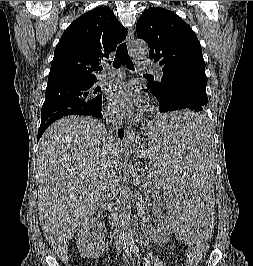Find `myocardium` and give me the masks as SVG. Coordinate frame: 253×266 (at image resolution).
I'll list each match as a JSON object with an SVG mask.
<instances>
[{
  "mask_svg": "<svg viewBox=\"0 0 253 266\" xmlns=\"http://www.w3.org/2000/svg\"><path fill=\"white\" fill-rule=\"evenodd\" d=\"M153 111H154V105H153V103H149L148 106H147V108H146V112L148 114H152Z\"/></svg>",
  "mask_w": 253,
  "mask_h": 266,
  "instance_id": "myocardium-1",
  "label": "myocardium"
}]
</instances>
